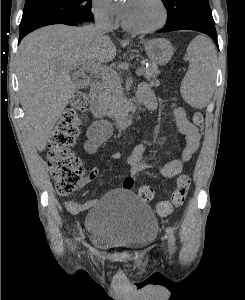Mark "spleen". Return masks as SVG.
I'll return each mask as SVG.
<instances>
[{"mask_svg":"<svg viewBox=\"0 0 245 300\" xmlns=\"http://www.w3.org/2000/svg\"><path fill=\"white\" fill-rule=\"evenodd\" d=\"M216 58L215 47L206 37L198 36L188 46L190 65L181 83V95L194 108L203 109L212 97Z\"/></svg>","mask_w":245,"mask_h":300,"instance_id":"3e777b00","label":"spleen"}]
</instances>
